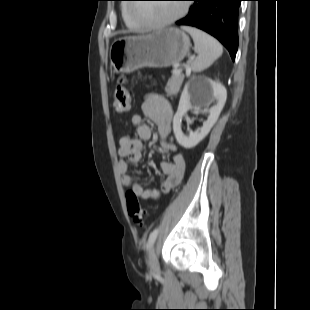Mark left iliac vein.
I'll return each mask as SVG.
<instances>
[{"label":"left iliac vein","mask_w":310,"mask_h":310,"mask_svg":"<svg viewBox=\"0 0 310 310\" xmlns=\"http://www.w3.org/2000/svg\"><path fill=\"white\" fill-rule=\"evenodd\" d=\"M149 267L151 272L153 273L159 272L160 268L155 246H152L149 250Z\"/></svg>","instance_id":"left-iliac-vein-1"}]
</instances>
